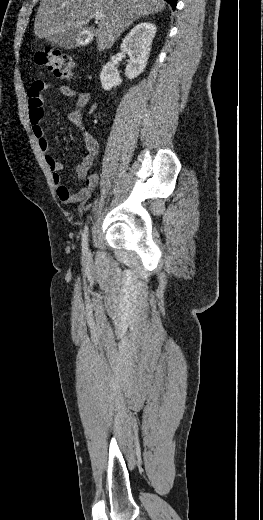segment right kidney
<instances>
[{
  "label": "right kidney",
  "instance_id": "obj_1",
  "mask_svg": "<svg viewBox=\"0 0 263 520\" xmlns=\"http://www.w3.org/2000/svg\"><path fill=\"white\" fill-rule=\"evenodd\" d=\"M156 31L157 28L153 23L142 22L136 25L123 40L120 48L122 52L129 56L128 65L125 69L127 78L132 80L144 71ZM100 81L102 88L106 91L122 83L115 63L108 62L103 67L100 73Z\"/></svg>",
  "mask_w": 263,
  "mask_h": 520
}]
</instances>
